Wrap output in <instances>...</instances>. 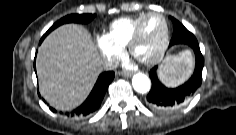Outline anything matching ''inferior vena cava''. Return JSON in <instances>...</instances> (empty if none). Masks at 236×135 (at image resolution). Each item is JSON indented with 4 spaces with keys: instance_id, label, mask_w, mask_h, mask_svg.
Returning <instances> with one entry per match:
<instances>
[{
    "instance_id": "inferior-vena-cava-1",
    "label": "inferior vena cava",
    "mask_w": 236,
    "mask_h": 135,
    "mask_svg": "<svg viewBox=\"0 0 236 135\" xmlns=\"http://www.w3.org/2000/svg\"><path fill=\"white\" fill-rule=\"evenodd\" d=\"M102 64L105 70L114 69L117 66V63H115L113 60H104Z\"/></svg>"
}]
</instances>
